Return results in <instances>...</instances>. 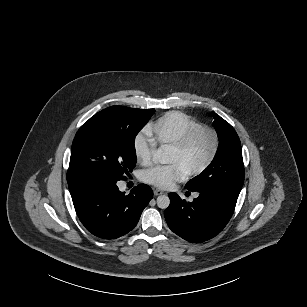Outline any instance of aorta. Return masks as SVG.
Listing matches in <instances>:
<instances>
[{
    "label": "aorta",
    "instance_id": "1",
    "mask_svg": "<svg viewBox=\"0 0 307 307\" xmlns=\"http://www.w3.org/2000/svg\"><path fill=\"white\" fill-rule=\"evenodd\" d=\"M168 154L166 147L162 146L158 149L157 158L160 163H168ZM170 204V199L167 195H160L157 198V205L161 209H166Z\"/></svg>",
    "mask_w": 307,
    "mask_h": 307
}]
</instances>
